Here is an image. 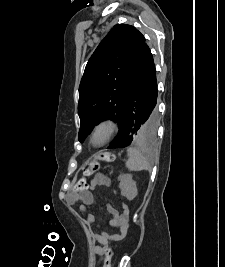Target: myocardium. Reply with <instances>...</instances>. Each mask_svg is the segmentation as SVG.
<instances>
[{
	"mask_svg": "<svg viewBox=\"0 0 225 267\" xmlns=\"http://www.w3.org/2000/svg\"><path fill=\"white\" fill-rule=\"evenodd\" d=\"M101 127H106L108 129V133L106 138L98 144H95L93 142V137L95 132L101 128ZM120 131V122L114 118V117H104L100 120H98L92 127L90 134H89V143L93 147H102L106 144H108L112 139L115 138V136L119 133Z\"/></svg>",
	"mask_w": 225,
	"mask_h": 267,
	"instance_id": "obj_1",
	"label": "myocardium"
}]
</instances>
